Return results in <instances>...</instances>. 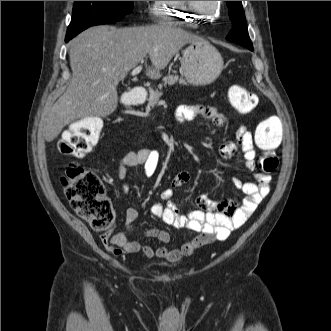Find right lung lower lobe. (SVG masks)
<instances>
[{"label":"right lung lower lobe","mask_w":331,"mask_h":331,"mask_svg":"<svg viewBox=\"0 0 331 331\" xmlns=\"http://www.w3.org/2000/svg\"><path fill=\"white\" fill-rule=\"evenodd\" d=\"M70 39H71V38H67V37H66L65 41L68 42Z\"/></svg>","instance_id":"obj_1"}]
</instances>
